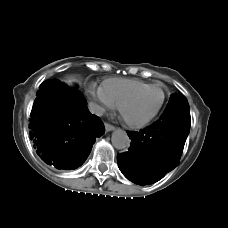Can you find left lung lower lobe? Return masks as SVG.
<instances>
[{
    "label": "left lung lower lobe",
    "mask_w": 228,
    "mask_h": 228,
    "mask_svg": "<svg viewBox=\"0 0 228 228\" xmlns=\"http://www.w3.org/2000/svg\"><path fill=\"white\" fill-rule=\"evenodd\" d=\"M190 125L188 117H160L139 132L128 131L131 146L117 155L120 171L139 185L160 180L179 164Z\"/></svg>",
    "instance_id": "0a47b994"
}]
</instances>
